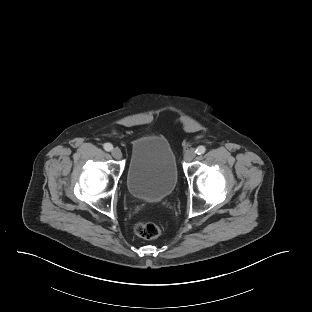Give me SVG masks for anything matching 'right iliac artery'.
<instances>
[{
	"label": "right iliac artery",
	"instance_id": "right-iliac-artery-1",
	"mask_svg": "<svg viewBox=\"0 0 312 312\" xmlns=\"http://www.w3.org/2000/svg\"><path fill=\"white\" fill-rule=\"evenodd\" d=\"M104 149H105L106 151H111V150L113 149V146H112V144H110V143H105V144H104Z\"/></svg>",
	"mask_w": 312,
	"mask_h": 312
}]
</instances>
